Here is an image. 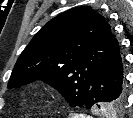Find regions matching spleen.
Segmentation results:
<instances>
[{
	"label": "spleen",
	"instance_id": "1",
	"mask_svg": "<svg viewBox=\"0 0 133 118\" xmlns=\"http://www.w3.org/2000/svg\"><path fill=\"white\" fill-rule=\"evenodd\" d=\"M74 118H79L78 116H76V117H74ZM84 118H86V117H84ZM88 118V117H87Z\"/></svg>",
	"mask_w": 133,
	"mask_h": 118
}]
</instances>
